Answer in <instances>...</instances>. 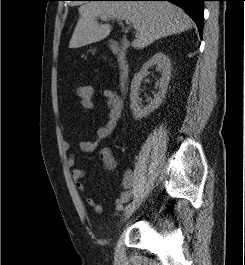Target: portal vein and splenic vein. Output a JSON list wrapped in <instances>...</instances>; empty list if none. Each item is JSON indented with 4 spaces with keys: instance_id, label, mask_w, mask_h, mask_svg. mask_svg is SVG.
Returning <instances> with one entry per match:
<instances>
[{
    "instance_id": "portal-vein-and-splenic-vein-1",
    "label": "portal vein and splenic vein",
    "mask_w": 245,
    "mask_h": 265,
    "mask_svg": "<svg viewBox=\"0 0 245 265\" xmlns=\"http://www.w3.org/2000/svg\"><path fill=\"white\" fill-rule=\"evenodd\" d=\"M101 19H102V20H106V19H107V17H106V16H104V17H101ZM126 24H130V21L126 20Z\"/></svg>"
}]
</instances>
